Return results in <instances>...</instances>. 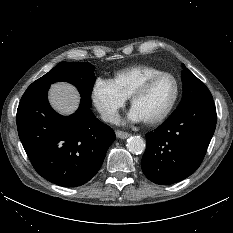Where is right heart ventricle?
<instances>
[{
	"label": "right heart ventricle",
	"mask_w": 233,
	"mask_h": 233,
	"mask_svg": "<svg viewBox=\"0 0 233 233\" xmlns=\"http://www.w3.org/2000/svg\"><path fill=\"white\" fill-rule=\"evenodd\" d=\"M162 70L150 65H135L115 73L111 82L127 99L134 90L148 77L161 73Z\"/></svg>",
	"instance_id": "e07e8e85"
}]
</instances>
